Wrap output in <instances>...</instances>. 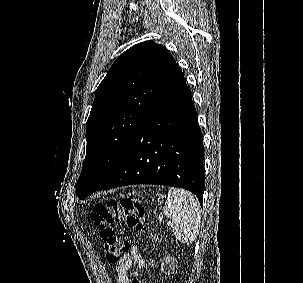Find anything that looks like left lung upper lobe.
<instances>
[{
  "label": "left lung upper lobe",
  "instance_id": "obj_1",
  "mask_svg": "<svg viewBox=\"0 0 303 283\" xmlns=\"http://www.w3.org/2000/svg\"><path fill=\"white\" fill-rule=\"evenodd\" d=\"M174 62L162 45L144 41L113 63L96 90L87 120V150L77 195L110 178Z\"/></svg>",
  "mask_w": 303,
  "mask_h": 283
}]
</instances>
